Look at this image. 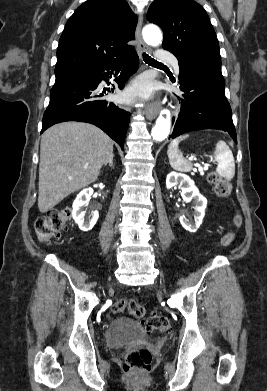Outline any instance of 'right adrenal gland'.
Returning a JSON list of instances; mask_svg holds the SVG:
<instances>
[{
    "label": "right adrenal gland",
    "mask_w": 267,
    "mask_h": 391,
    "mask_svg": "<svg viewBox=\"0 0 267 391\" xmlns=\"http://www.w3.org/2000/svg\"><path fill=\"white\" fill-rule=\"evenodd\" d=\"M108 164H109L110 167H112V165H113V157L108 162H106L104 164V166L106 167Z\"/></svg>",
    "instance_id": "2a0ac1e0"
}]
</instances>
